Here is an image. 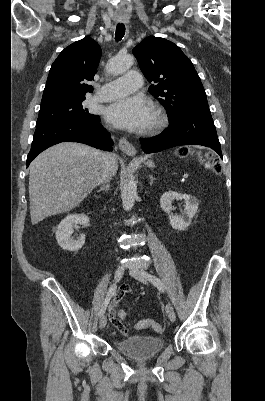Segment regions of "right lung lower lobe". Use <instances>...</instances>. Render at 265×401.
<instances>
[{
    "label": "right lung lower lobe",
    "instance_id": "obj_1",
    "mask_svg": "<svg viewBox=\"0 0 265 401\" xmlns=\"http://www.w3.org/2000/svg\"><path fill=\"white\" fill-rule=\"evenodd\" d=\"M80 142L102 150H112L110 134L100 122L49 121L36 125L27 166L42 151L60 142Z\"/></svg>",
    "mask_w": 265,
    "mask_h": 401
}]
</instances>
